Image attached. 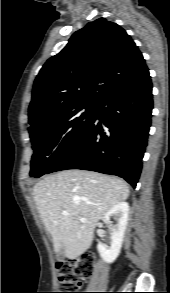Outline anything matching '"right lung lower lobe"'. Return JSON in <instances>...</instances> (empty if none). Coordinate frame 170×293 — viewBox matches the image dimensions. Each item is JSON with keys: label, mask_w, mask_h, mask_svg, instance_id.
Here are the masks:
<instances>
[{"label": "right lung lower lobe", "mask_w": 170, "mask_h": 293, "mask_svg": "<svg viewBox=\"0 0 170 293\" xmlns=\"http://www.w3.org/2000/svg\"><path fill=\"white\" fill-rule=\"evenodd\" d=\"M152 108V83L147 69L103 97L96 105L94 120L47 173L91 170L117 175L135 187L147 146Z\"/></svg>", "instance_id": "98d812e1"}]
</instances>
